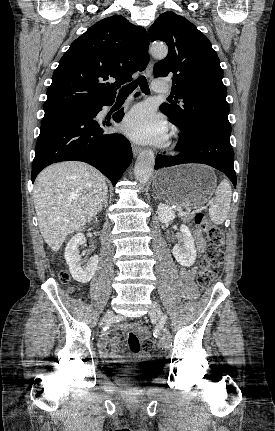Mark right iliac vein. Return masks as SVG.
<instances>
[{"label": "right iliac vein", "mask_w": 275, "mask_h": 431, "mask_svg": "<svg viewBox=\"0 0 275 431\" xmlns=\"http://www.w3.org/2000/svg\"><path fill=\"white\" fill-rule=\"evenodd\" d=\"M113 317H114V312H113L112 310H108V311L105 313V315H104V317H103L102 321L100 322V325H103L105 321H108V320L113 319Z\"/></svg>", "instance_id": "obj_1"}]
</instances>
